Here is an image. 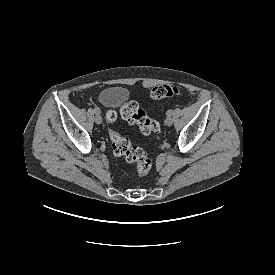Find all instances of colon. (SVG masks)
Returning <instances> with one entry per match:
<instances>
[{
    "label": "colon",
    "mask_w": 275,
    "mask_h": 275,
    "mask_svg": "<svg viewBox=\"0 0 275 275\" xmlns=\"http://www.w3.org/2000/svg\"><path fill=\"white\" fill-rule=\"evenodd\" d=\"M178 95H180V89L176 85H158L151 91V97L155 100H163ZM121 111L123 117L130 123L137 124L144 135H156L160 132L159 123L140 109L134 101L124 102ZM106 118L108 121H114L116 113L109 110L106 113ZM109 135L114 154L124 157L127 162L136 164L135 176L143 177L149 174L152 162L144 149L133 147L130 141L116 130L110 129Z\"/></svg>",
    "instance_id": "1"
}]
</instances>
